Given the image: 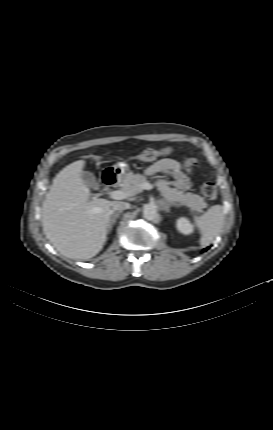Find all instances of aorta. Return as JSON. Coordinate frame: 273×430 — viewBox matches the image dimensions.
Masks as SVG:
<instances>
[{
  "label": "aorta",
  "mask_w": 273,
  "mask_h": 430,
  "mask_svg": "<svg viewBox=\"0 0 273 430\" xmlns=\"http://www.w3.org/2000/svg\"><path fill=\"white\" fill-rule=\"evenodd\" d=\"M158 216L157 209L153 205H146L143 210V217L147 220H154Z\"/></svg>",
  "instance_id": "obj_1"
}]
</instances>
